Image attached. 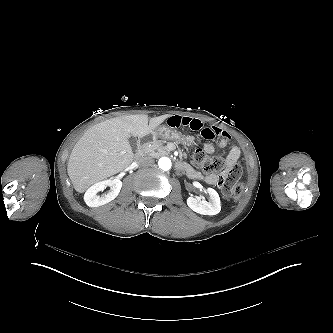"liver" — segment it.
<instances>
[{
	"instance_id": "liver-1",
	"label": "liver",
	"mask_w": 333,
	"mask_h": 333,
	"mask_svg": "<svg viewBox=\"0 0 333 333\" xmlns=\"http://www.w3.org/2000/svg\"><path fill=\"white\" fill-rule=\"evenodd\" d=\"M170 114L152 117L123 115L91 126L74 145L67 173L74 189L83 194L92 185L124 171L134 153L129 139L151 134Z\"/></svg>"
}]
</instances>
